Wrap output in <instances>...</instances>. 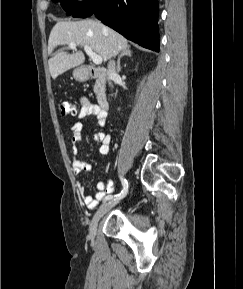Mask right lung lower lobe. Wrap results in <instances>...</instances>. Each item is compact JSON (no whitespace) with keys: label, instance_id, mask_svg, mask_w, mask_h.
Wrapping results in <instances>:
<instances>
[{"label":"right lung lower lobe","instance_id":"obj_1","mask_svg":"<svg viewBox=\"0 0 243 289\" xmlns=\"http://www.w3.org/2000/svg\"><path fill=\"white\" fill-rule=\"evenodd\" d=\"M92 14L127 39L159 50L157 0H90L72 17L86 18Z\"/></svg>","mask_w":243,"mask_h":289}]
</instances>
